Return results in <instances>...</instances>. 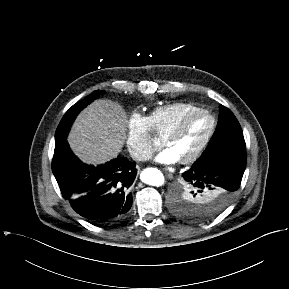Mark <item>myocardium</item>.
<instances>
[{
	"label": "myocardium",
	"instance_id": "myocardium-1",
	"mask_svg": "<svg viewBox=\"0 0 289 289\" xmlns=\"http://www.w3.org/2000/svg\"><path fill=\"white\" fill-rule=\"evenodd\" d=\"M198 115L208 116L211 120V124H210V127H209L206 135L204 136L202 141L198 144V146L192 152H190L186 157L179 159V162L182 164H189V163L194 162L204 152V150L206 149V147L210 143V141H211V139L215 133V130H216L217 120H216L215 116L209 110L202 109V108H199L197 110L189 112L186 115H184L178 121V123L162 138L163 144L165 146H167L171 140L179 137L183 133V131L185 130L188 122L193 117L198 116Z\"/></svg>",
	"mask_w": 289,
	"mask_h": 289
}]
</instances>
